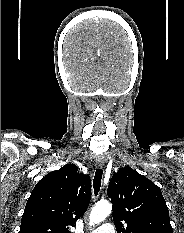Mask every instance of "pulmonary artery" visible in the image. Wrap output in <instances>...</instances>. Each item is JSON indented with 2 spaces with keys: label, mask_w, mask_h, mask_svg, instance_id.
I'll return each mask as SVG.
<instances>
[{
  "label": "pulmonary artery",
  "mask_w": 184,
  "mask_h": 233,
  "mask_svg": "<svg viewBox=\"0 0 184 233\" xmlns=\"http://www.w3.org/2000/svg\"><path fill=\"white\" fill-rule=\"evenodd\" d=\"M92 233H116V231L112 224L105 223L96 228Z\"/></svg>",
  "instance_id": "obj_1"
}]
</instances>
